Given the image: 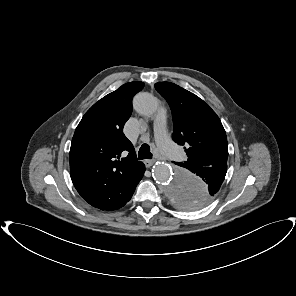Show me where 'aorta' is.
Instances as JSON below:
<instances>
[{
    "instance_id": "762f6f07",
    "label": "aorta",
    "mask_w": 296,
    "mask_h": 296,
    "mask_svg": "<svg viewBox=\"0 0 296 296\" xmlns=\"http://www.w3.org/2000/svg\"><path fill=\"white\" fill-rule=\"evenodd\" d=\"M133 106L139 114L151 116L156 113L159 103L152 94L141 92L134 97ZM152 172L168 200L179 209L194 211L203 204L206 184L182 166H168L159 162L154 165Z\"/></svg>"
}]
</instances>
